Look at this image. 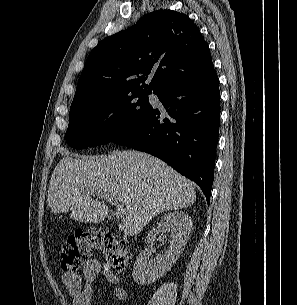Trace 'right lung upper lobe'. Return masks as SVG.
<instances>
[{
  "label": "right lung upper lobe",
  "mask_w": 297,
  "mask_h": 305,
  "mask_svg": "<svg viewBox=\"0 0 297 305\" xmlns=\"http://www.w3.org/2000/svg\"><path fill=\"white\" fill-rule=\"evenodd\" d=\"M213 69L208 44L189 17L158 10L90 52L71 107L129 91L157 93ZM149 76L152 80L145 84Z\"/></svg>",
  "instance_id": "cb5924a9"
}]
</instances>
